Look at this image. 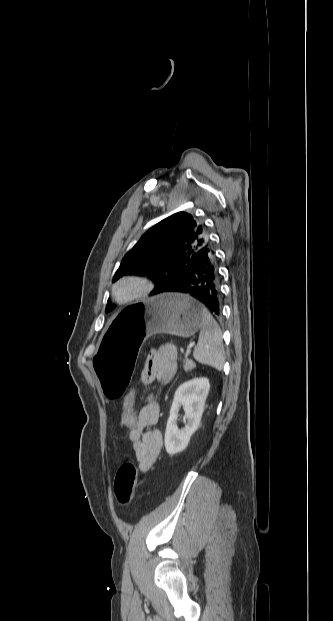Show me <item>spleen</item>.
I'll list each match as a JSON object with an SVG mask.
<instances>
[{"label":"spleen","instance_id":"3e777b00","mask_svg":"<svg viewBox=\"0 0 333 621\" xmlns=\"http://www.w3.org/2000/svg\"><path fill=\"white\" fill-rule=\"evenodd\" d=\"M193 356L201 364L212 366L219 371L223 369L225 358L222 332L207 310L200 327L199 340Z\"/></svg>","mask_w":333,"mask_h":621}]
</instances>
